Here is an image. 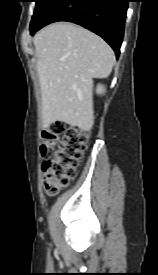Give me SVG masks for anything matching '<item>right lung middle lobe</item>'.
Returning a JSON list of instances; mask_svg holds the SVG:
<instances>
[{"label": "right lung middle lobe", "mask_w": 158, "mask_h": 275, "mask_svg": "<svg viewBox=\"0 0 158 275\" xmlns=\"http://www.w3.org/2000/svg\"><path fill=\"white\" fill-rule=\"evenodd\" d=\"M56 0H36L34 15L30 26L35 25Z\"/></svg>", "instance_id": "obj_1"}]
</instances>
